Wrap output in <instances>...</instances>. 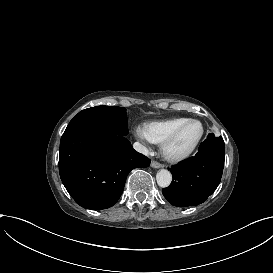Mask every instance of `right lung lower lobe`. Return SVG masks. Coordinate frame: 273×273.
Returning <instances> with one entry per match:
<instances>
[{
  "instance_id": "right-lung-lower-lobe-1",
  "label": "right lung lower lobe",
  "mask_w": 273,
  "mask_h": 273,
  "mask_svg": "<svg viewBox=\"0 0 273 273\" xmlns=\"http://www.w3.org/2000/svg\"><path fill=\"white\" fill-rule=\"evenodd\" d=\"M151 160L135 151L125 136L93 127L65 130L60 141L59 173L77 204L93 210L113 206L129 172Z\"/></svg>"
}]
</instances>
